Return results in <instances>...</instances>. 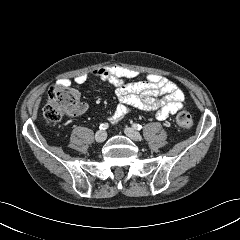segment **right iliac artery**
Returning a JSON list of instances; mask_svg holds the SVG:
<instances>
[{
    "label": "right iliac artery",
    "mask_w": 240,
    "mask_h": 240,
    "mask_svg": "<svg viewBox=\"0 0 240 240\" xmlns=\"http://www.w3.org/2000/svg\"><path fill=\"white\" fill-rule=\"evenodd\" d=\"M108 127H109L108 123H102L99 128L100 130H106Z\"/></svg>",
    "instance_id": "82829eb1"
}]
</instances>
